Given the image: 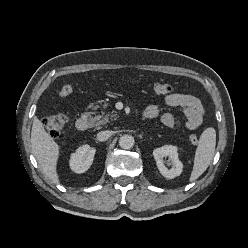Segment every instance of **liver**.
Returning <instances> with one entry per match:
<instances>
[{
    "label": "liver",
    "mask_w": 248,
    "mask_h": 248,
    "mask_svg": "<svg viewBox=\"0 0 248 248\" xmlns=\"http://www.w3.org/2000/svg\"><path fill=\"white\" fill-rule=\"evenodd\" d=\"M31 147L43 174L52 182L59 183L57 174V161L59 158V145L46 132L43 123L34 117L31 130Z\"/></svg>",
    "instance_id": "liver-1"
}]
</instances>
